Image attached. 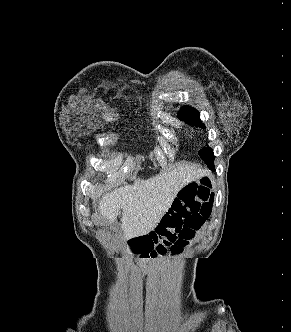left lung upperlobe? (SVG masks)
<instances>
[{
	"instance_id": "1",
	"label": "left lung upper lobe",
	"mask_w": 291,
	"mask_h": 332,
	"mask_svg": "<svg viewBox=\"0 0 291 332\" xmlns=\"http://www.w3.org/2000/svg\"><path fill=\"white\" fill-rule=\"evenodd\" d=\"M178 117L181 120L191 122L195 126L205 128L204 124L199 118V112L193 107L183 106L178 112ZM198 154L211 169L214 168V154L211 148H203L198 152Z\"/></svg>"
}]
</instances>
